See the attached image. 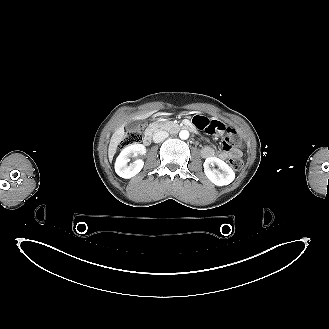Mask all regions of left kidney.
Returning <instances> with one entry per match:
<instances>
[{"label": "left kidney", "mask_w": 329, "mask_h": 329, "mask_svg": "<svg viewBox=\"0 0 329 329\" xmlns=\"http://www.w3.org/2000/svg\"><path fill=\"white\" fill-rule=\"evenodd\" d=\"M216 164L221 173H216L212 166ZM204 173L206 177L217 186H224L230 184L235 179L233 169L223 160L217 157H208L204 162Z\"/></svg>", "instance_id": "5707ae66"}]
</instances>
